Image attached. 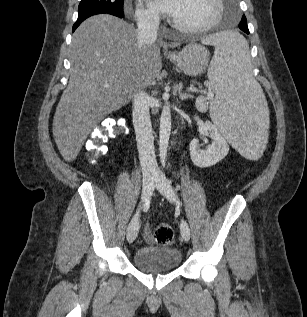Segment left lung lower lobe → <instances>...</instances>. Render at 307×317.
<instances>
[{"label":"left lung lower lobe","instance_id":"left-lung-lower-lobe-1","mask_svg":"<svg viewBox=\"0 0 307 317\" xmlns=\"http://www.w3.org/2000/svg\"><path fill=\"white\" fill-rule=\"evenodd\" d=\"M239 28L244 31L245 33L249 34L248 26H247V20H242L239 23Z\"/></svg>","mask_w":307,"mask_h":317}]
</instances>
